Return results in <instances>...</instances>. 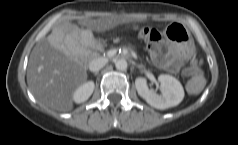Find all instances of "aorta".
Segmentation results:
<instances>
[{
    "instance_id": "1",
    "label": "aorta",
    "mask_w": 238,
    "mask_h": 145,
    "mask_svg": "<svg viewBox=\"0 0 238 145\" xmlns=\"http://www.w3.org/2000/svg\"><path fill=\"white\" fill-rule=\"evenodd\" d=\"M127 61L125 59H118L116 62H115V67L117 70H120V71H124L127 69Z\"/></svg>"
}]
</instances>
